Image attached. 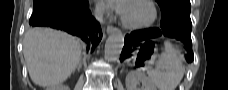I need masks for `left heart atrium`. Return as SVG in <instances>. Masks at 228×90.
Segmentation results:
<instances>
[{
  "label": "left heart atrium",
  "instance_id": "obj_1",
  "mask_svg": "<svg viewBox=\"0 0 228 90\" xmlns=\"http://www.w3.org/2000/svg\"><path fill=\"white\" fill-rule=\"evenodd\" d=\"M125 6L126 5H121V6H119V5H115V7H116V9H117V11L121 14V15H123V12H124V9H125Z\"/></svg>",
  "mask_w": 228,
  "mask_h": 90
}]
</instances>
